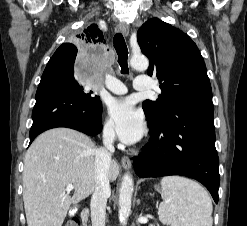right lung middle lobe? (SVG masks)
Listing matches in <instances>:
<instances>
[{
	"mask_svg": "<svg viewBox=\"0 0 247 226\" xmlns=\"http://www.w3.org/2000/svg\"><path fill=\"white\" fill-rule=\"evenodd\" d=\"M76 56H69V55H61L59 59L65 61L71 68L74 70V62ZM90 94V93H89ZM95 100H99L98 96H92Z\"/></svg>",
	"mask_w": 247,
	"mask_h": 226,
	"instance_id": "dd1d6c3e",
	"label": "right lung middle lobe"
}]
</instances>
